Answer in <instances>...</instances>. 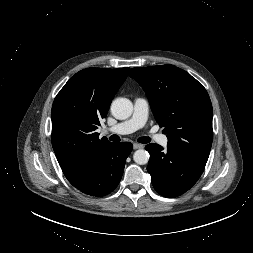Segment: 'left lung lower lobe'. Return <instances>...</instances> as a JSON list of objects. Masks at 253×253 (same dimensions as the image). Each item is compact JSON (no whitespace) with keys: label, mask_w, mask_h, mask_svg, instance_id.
Segmentation results:
<instances>
[{"label":"left lung lower lobe","mask_w":253,"mask_h":253,"mask_svg":"<svg viewBox=\"0 0 253 253\" xmlns=\"http://www.w3.org/2000/svg\"><path fill=\"white\" fill-rule=\"evenodd\" d=\"M147 171L155 190L164 197H177L188 191L200 178L206 163L176 152L163 151L158 144H148Z\"/></svg>","instance_id":"1"}]
</instances>
